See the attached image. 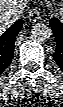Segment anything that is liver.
Here are the masks:
<instances>
[{"instance_id":"liver-1","label":"liver","mask_w":63,"mask_h":107,"mask_svg":"<svg viewBox=\"0 0 63 107\" xmlns=\"http://www.w3.org/2000/svg\"><path fill=\"white\" fill-rule=\"evenodd\" d=\"M21 3L26 4V0H0V32L5 31L13 24L5 15L6 12L17 6H21Z\"/></svg>"}]
</instances>
